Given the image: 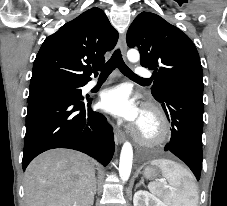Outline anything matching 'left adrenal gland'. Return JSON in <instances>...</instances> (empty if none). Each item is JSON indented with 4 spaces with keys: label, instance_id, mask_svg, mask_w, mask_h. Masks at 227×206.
Listing matches in <instances>:
<instances>
[{
    "label": "left adrenal gland",
    "instance_id": "obj_1",
    "mask_svg": "<svg viewBox=\"0 0 227 206\" xmlns=\"http://www.w3.org/2000/svg\"><path fill=\"white\" fill-rule=\"evenodd\" d=\"M140 185L144 186V179L142 178L139 183L136 184V188H138Z\"/></svg>",
    "mask_w": 227,
    "mask_h": 206
}]
</instances>
